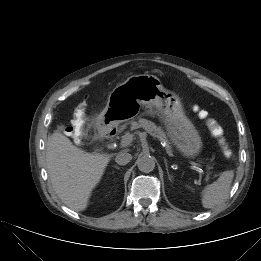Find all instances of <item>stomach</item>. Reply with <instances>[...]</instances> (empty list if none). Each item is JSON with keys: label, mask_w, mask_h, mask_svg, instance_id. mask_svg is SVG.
Here are the masks:
<instances>
[{"label": "stomach", "mask_w": 261, "mask_h": 261, "mask_svg": "<svg viewBox=\"0 0 261 261\" xmlns=\"http://www.w3.org/2000/svg\"><path fill=\"white\" fill-rule=\"evenodd\" d=\"M141 107L155 108L160 113L168 137L184 157L195 158L201 153L202 138L185 115L180 98L166 90L154 75H132L117 85L98 116V124L108 128L133 120L139 115Z\"/></svg>", "instance_id": "obj_1"}]
</instances>
